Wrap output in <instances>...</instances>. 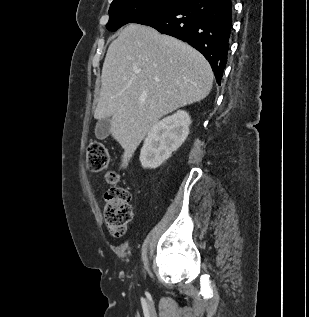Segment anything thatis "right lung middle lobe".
I'll list each match as a JSON object with an SVG mask.
<instances>
[{"instance_id": "dd1d6c3e", "label": "right lung middle lobe", "mask_w": 309, "mask_h": 317, "mask_svg": "<svg viewBox=\"0 0 309 317\" xmlns=\"http://www.w3.org/2000/svg\"><path fill=\"white\" fill-rule=\"evenodd\" d=\"M185 0H113L109 9V21L106 27L116 31L136 18Z\"/></svg>"}]
</instances>
